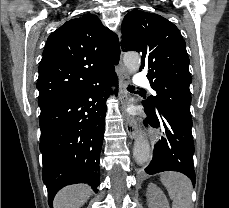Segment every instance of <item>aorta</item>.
<instances>
[{"label":"aorta","mask_w":229,"mask_h":208,"mask_svg":"<svg viewBox=\"0 0 229 208\" xmlns=\"http://www.w3.org/2000/svg\"><path fill=\"white\" fill-rule=\"evenodd\" d=\"M123 62L129 73H135L140 67V56L137 53L124 55ZM133 155L139 165H145L150 160V145L143 136H138L134 142Z\"/></svg>","instance_id":"1"}]
</instances>
